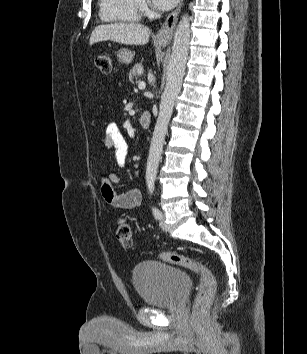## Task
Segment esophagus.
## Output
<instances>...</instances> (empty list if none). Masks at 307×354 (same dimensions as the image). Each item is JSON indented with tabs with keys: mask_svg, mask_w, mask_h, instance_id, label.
I'll use <instances>...</instances> for the list:
<instances>
[{
	"mask_svg": "<svg viewBox=\"0 0 307 354\" xmlns=\"http://www.w3.org/2000/svg\"><path fill=\"white\" fill-rule=\"evenodd\" d=\"M182 5H183V0H180L177 8L168 15L164 24L162 25V27L159 29V31L156 34V38L158 40L168 41V40L172 39L174 29H175L176 23H177V18H178L180 10L182 8Z\"/></svg>",
	"mask_w": 307,
	"mask_h": 354,
	"instance_id": "1",
	"label": "esophagus"
}]
</instances>
